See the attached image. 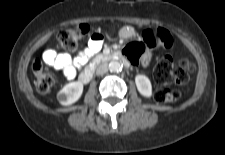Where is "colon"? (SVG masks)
<instances>
[{
  "instance_id": "colon-1",
  "label": "colon",
  "mask_w": 225,
  "mask_h": 155,
  "mask_svg": "<svg viewBox=\"0 0 225 155\" xmlns=\"http://www.w3.org/2000/svg\"><path fill=\"white\" fill-rule=\"evenodd\" d=\"M89 32L86 24L62 30L58 34V41L62 49L73 51L77 48L81 38ZM172 37L163 29H149L143 32L141 41H134L122 49V56L126 58L130 66H137L146 47L157 45L170 46ZM32 69L36 78L35 85L40 93H47L56 82L55 75L49 71L41 60H35ZM194 71V64L188 59H182L175 63L172 58L160 59L154 68V77L162 85L153 93V98L158 103H175L180 98L178 90L170 85H183L188 82L190 74Z\"/></svg>"
}]
</instances>
